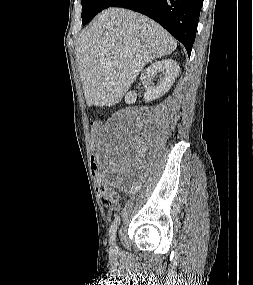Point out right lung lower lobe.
<instances>
[{
  "instance_id": "right-lung-lower-lobe-1",
  "label": "right lung lower lobe",
  "mask_w": 253,
  "mask_h": 285,
  "mask_svg": "<svg viewBox=\"0 0 253 285\" xmlns=\"http://www.w3.org/2000/svg\"><path fill=\"white\" fill-rule=\"evenodd\" d=\"M203 0H116L110 7H122L152 18L186 48L190 56Z\"/></svg>"
}]
</instances>
